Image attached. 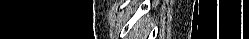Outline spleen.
Instances as JSON below:
<instances>
[{"label":"spleen","mask_w":249,"mask_h":39,"mask_svg":"<svg viewBox=\"0 0 249 39\" xmlns=\"http://www.w3.org/2000/svg\"><path fill=\"white\" fill-rule=\"evenodd\" d=\"M143 26L146 27V28H149V26H150V20L149 19H144L143 20Z\"/></svg>","instance_id":"1"}]
</instances>
